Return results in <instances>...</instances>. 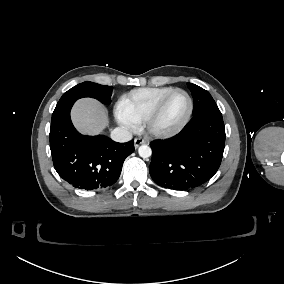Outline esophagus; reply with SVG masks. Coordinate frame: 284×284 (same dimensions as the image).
Returning <instances> with one entry per match:
<instances>
[{"mask_svg": "<svg viewBox=\"0 0 284 284\" xmlns=\"http://www.w3.org/2000/svg\"><path fill=\"white\" fill-rule=\"evenodd\" d=\"M146 142V140L144 139V138H142V137H136L135 139H134V147H135V149H137L141 144H143V143H145Z\"/></svg>", "mask_w": 284, "mask_h": 284, "instance_id": "esophagus-1", "label": "esophagus"}]
</instances>
